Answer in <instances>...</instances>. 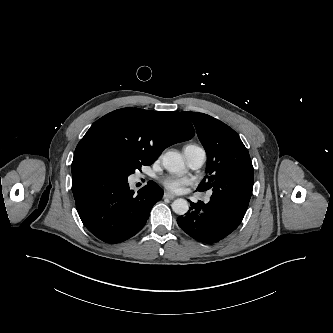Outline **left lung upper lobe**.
<instances>
[{"instance_id": "left-lung-upper-lobe-1", "label": "left lung upper lobe", "mask_w": 333, "mask_h": 333, "mask_svg": "<svg viewBox=\"0 0 333 333\" xmlns=\"http://www.w3.org/2000/svg\"><path fill=\"white\" fill-rule=\"evenodd\" d=\"M184 114L194 124L198 138L208 155L206 176L197 190H213L225 170H234L237 164L251 160L249 153L238 134L223 122L204 113Z\"/></svg>"}]
</instances>
